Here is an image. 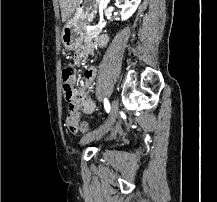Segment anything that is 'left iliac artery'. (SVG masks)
Instances as JSON below:
<instances>
[{"label":"left iliac artery","instance_id":"obj_1","mask_svg":"<svg viewBox=\"0 0 217 202\" xmlns=\"http://www.w3.org/2000/svg\"><path fill=\"white\" fill-rule=\"evenodd\" d=\"M104 108H105V110H106L107 113L110 112V103L107 100V98H104Z\"/></svg>","mask_w":217,"mask_h":202}]
</instances>
